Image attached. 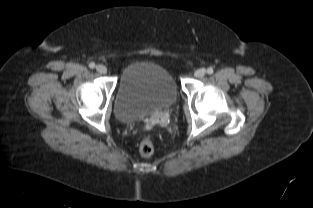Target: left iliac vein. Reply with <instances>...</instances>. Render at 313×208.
Wrapping results in <instances>:
<instances>
[{
  "mask_svg": "<svg viewBox=\"0 0 313 208\" xmlns=\"http://www.w3.org/2000/svg\"><path fill=\"white\" fill-rule=\"evenodd\" d=\"M206 74V70L204 68L197 69L194 73L195 77L202 78Z\"/></svg>",
  "mask_w": 313,
  "mask_h": 208,
  "instance_id": "1",
  "label": "left iliac vein"
}]
</instances>
